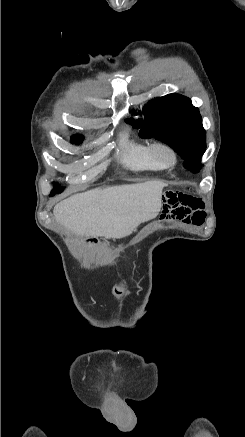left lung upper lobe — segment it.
Returning a JSON list of instances; mask_svg holds the SVG:
<instances>
[{
    "instance_id": "1",
    "label": "left lung upper lobe",
    "mask_w": 245,
    "mask_h": 437,
    "mask_svg": "<svg viewBox=\"0 0 245 437\" xmlns=\"http://www.w3.org/2000/svg\"><path fill=\"white\" fill-rule=\"evenodd\" d=\"M136 115V112H134ZM145 120L127 119L134 128H141L142 138L154 137L168 144L185 161V168L199 172L206 150V135L199 110L191 100L178 94L153 99L143 108Z\"/></svg>"
}]
</instances>
